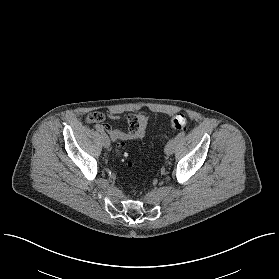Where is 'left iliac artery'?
I'll return each instance as SVG.
<instances>
[{
	"label": "left iliac artery",
	"mask_w": 279,
	"mask_h": 279,
	"mask_svg": "<svg viewBox=\"0 0 279 279\" xmlns=\"http://www.w3.org/2000/svg\"><path fill=\"white\" fill-rule=\"evenodd\" d=\"M184 135H185V132L182 131V132L178 133V135L176 136V139L179 140V139H181L182 137H184Z\"/></svg>",
	"instance_id": "obj_1"
}]
</instances>
